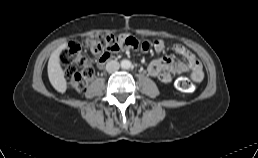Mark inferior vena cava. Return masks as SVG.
I'll use <instances>...</instances> for the list:
<instances>
[{"label": "inferior vena cava", "mask_w": 258, "mask_h": 158, "mask_svg": "<svg viewBox=\"0 0 258 158\" xmlns=\"http://www.w3.org/2000/svg\"><path fill=\"white\" fill-rule=\"evenodd\" d=\"M119 68H120V64L116 60H111L106 64V70L109 73H113L117 71Z\"/></svg>", "instance_id": "inferior-vena-cava-1"}]
</instances>
